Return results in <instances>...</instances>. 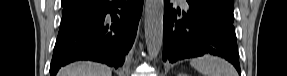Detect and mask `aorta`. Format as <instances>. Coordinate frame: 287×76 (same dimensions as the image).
Here are the masks:
<instances>
[{
  "label": "aorta",
  "instance_id": "762f6f07",
  "mask_svg": "<svg viewBox=\"0 0 287 76\" xmlns=\"http://www.w3.org/2000/svg\"><path fill=\"white\" fill-rule=\"evenodd\" d=\"M163 0H147L145 6V40L150 57H156L163 43Z\"/></svg>",
  "mask_w": 287,
  "mask_h": 76
}]
</instances>
